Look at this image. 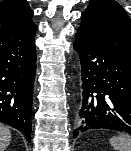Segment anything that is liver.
<instances>
[{
    "label": "liver",
    "instance_id": "obj_1",
    "mask_svg": "<svg viewBox=\"0 0 131 151\" xmlns=\"http://www.w3.org/2000/svg\"><path fill=\"white\" fill-rule=\"evenodd\" d=\"M11 141V132L10 130L0 124V151H5L9 146Z\"/></svg>",
    "mask_w": 131,
    "mask_h": 151
}]
</instances>
